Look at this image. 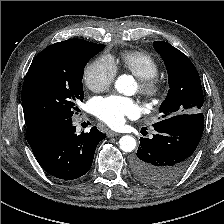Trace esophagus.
<instances>
[{"instance_id":"1","label":"esophagus","mask_w":224,"mask_h":224,"mask_svg":"<svg viewBox=\"0 0 224 224\" xmlns=\"http://www.w3.org/2000/svg\"><path fill=\"white\" fill-rule=\"evenodd\" d=\"M120 134L119 133H117V132H113V131H110L109 133H108V137H115V136H119Z\"/></svg>"}]
</instances>
